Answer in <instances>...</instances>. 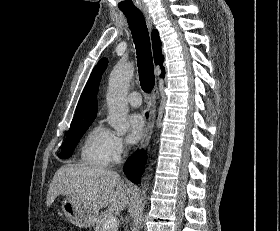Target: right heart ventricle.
Masks as SVG:
<instances>
[{
    "label": "right heart ventricle",
    "instance_id": "e07e8e85",
    "mask_svg": "<svg viewBox=\"0 0 280 231\" xmlns=\"http://www.w3.org/2000/svg\"><path fill=\"white\" fill-rule=\"evenodd\" d=\"M108 131L100 125L93 126L85 135L80 147L79 157L82 165L93 168H104L109 159L106 151Z\"/></svg>",
    "mask_w": 280,
    "mask_h": 231
}]
</instances>
